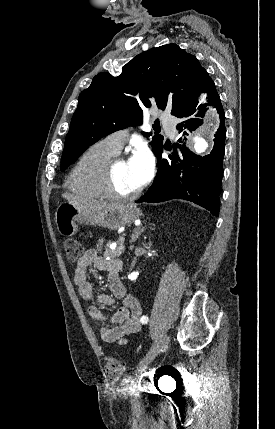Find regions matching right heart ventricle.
<instances>
[{"instance_id":"right-heart-ventricle-1","label":"right heart ventricle","mask_w":275,"mask_h":429,"mask_svg":"<svg viewBox=\"0 0 275 429\" xmlns=\"http://www.w3.org/2000/svg\"><path fill=\"white\" fill-rule=\"evenodd\" d=\"M116 152L102 142L91 145L79 158L68 177V188L88 199H104V170Z\"/></svg>"}]
</instances>
